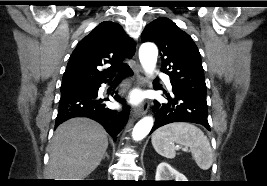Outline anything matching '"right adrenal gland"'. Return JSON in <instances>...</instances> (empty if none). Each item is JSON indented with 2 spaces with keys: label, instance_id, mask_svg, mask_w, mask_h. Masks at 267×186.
I'll list each match as a JSON object with an SVG mask.
<instances>
[{
  "label": "right adrenal gland",
  "instance_id": "obj_1",
  "mask_svg": "<svg viewBox=\"0 0 267 186\" xmlns=\"http://www.w3.org/2000/svg\"><path fill=\"white\" fill-rule=\"evenodd\" d=\"M105 158H107L108 160H109V155H108V153L107 152H105V154H104V156H103V160L105 159Z\"/></svg>",
  "mask_w": 267,
  "mask_h": 186
}]
</instances>
